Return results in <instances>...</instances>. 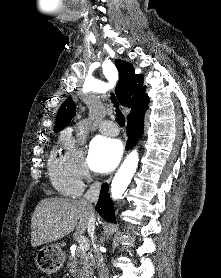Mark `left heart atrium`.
I'll use <instances>...</instances> for the list:
<instances>
[{
	"instance_id": "1",
	"label": "left heart atrium",
	"mask_w": 221,
	"mask_h": 278,
	"mask_svg": "<svg viewBox=\"0 0 221 278\" xmlns=\"http://www.w3.org/2000/svg\"><path fill=\"white\" fill-rule=\"evenodd\" d=\"M122 152L123 146L118 139L98 136L90 145L91 166L99 173H108L118 165Z\"/></svg>"
}]
</instances>
